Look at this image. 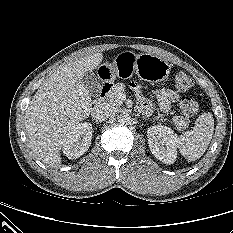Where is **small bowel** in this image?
<instances>
[{"mask_svg":"<svg viewBox=\"0 0 233 233\" xmlns=\"http://www.w3.org/2000/svg\"><path fill=\"white\" fill-rule=\"evenodd\" d=\"M132 87L139 96L140 106L146 110L150 109L151 103L141 96V88L137 84H133ZM154 97L159 105V108L164 112L169 111L171 104L177 102L180 98L176 91L166 88L155 90Z\"/></svg>","mask_w":233,"mask_h":233,"instance_id":"small-bowel-1","label":"small bowel"}]
</instances>
